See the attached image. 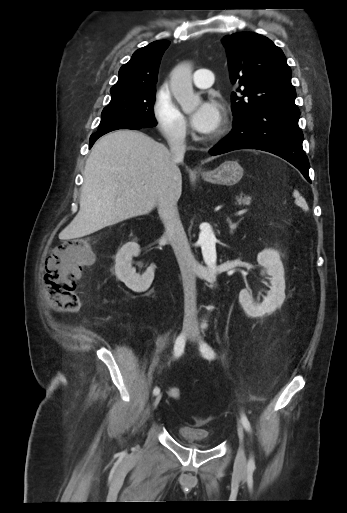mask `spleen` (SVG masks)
Returning a JSON list of instances; mask_svg holds the SVG:
<instances>
[{"instance_id":"obj_1","label":"spleen","mask_w":347,"mask_h":513,"mask_svg":"<svg viewBox=\"0 0 347 513\" xmlns=\"http://www.w3.org/2000/svg\"><path fill=\"white\" fill-rule=\"evenodd\" d=\"M293 197L295 198V203L300 206L304 211H308V205L305 199L300 195L298 190H294Z\"/></svg>"}]
</instances>
